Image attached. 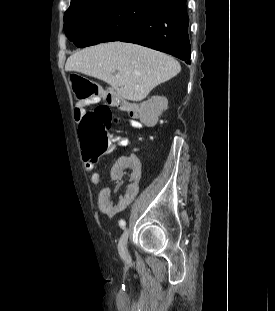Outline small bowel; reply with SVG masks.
<instances>
[{
	"label": "small bowel",
	"mask_w": 275,
	"mask_h": 311,
	"mask_svg": "<svg viewBox=\"0 0 275 311\" xmlns=\"http://www.w3.org/2000/svg\"><path fill=\"white\" fill-rule=\"evenodd\" d=\"M92 104L78 103L74 110V118L77 122H80L83 114L85 113V107ZM120 107L133 113L128 103H121ZM127 122L135 128L143 129L150 124L138 121L136 119H129ZM116 143L121 147H128L129 138L124 136H118L115 138ZM84 168L89 174L90 181L93 185L100 184L102 176L97 172V158L88 157L83 154ZM113 169H108V176H113L114 180H132L124 190L121 197L114 199V195L117 194V187H101L99 191L98 206H96V213H103V216H120V213L126 209L128 204L137 196L139 186L137 180L142 179V171H144V164H139L137 155H134L133 150H126L125 155H121L120 160H113Z\"/></svg>",
	"instance_id": "small-bowel-1"
}]
</instances>
